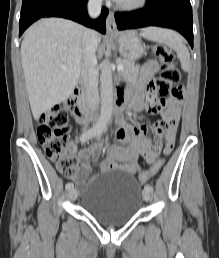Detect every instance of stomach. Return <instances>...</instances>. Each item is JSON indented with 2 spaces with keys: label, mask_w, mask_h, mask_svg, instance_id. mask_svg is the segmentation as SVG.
Here are the masks:
<instances>
[{
  "label": "stomach",
  "mask_w": 219,
  "mask_h": 258,
  "mask_svg": "<svg viewBox=\"0 0 219 258\" xmlns=\"http://www.w3.org/2000/svg\"><path fill=\"white\" fill-rule=\"evenodd\" d=\"M119 52L122 57L135 61L144 52V45L135 31L121 32L117 36Z\"/></svg>",
  "instance_id": "obj_1"
}]
</instances>
